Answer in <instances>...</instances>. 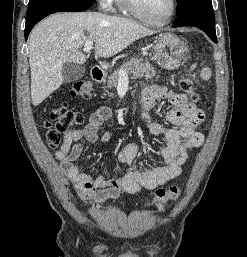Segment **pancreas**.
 I'll return each instance as SVG.
<instances>
[{
	"mask_svg": "<svg viewBox=\"0 0 247 257\" xmlns=\"http://www.w3.org/2000/svg\"><path fill=\"white\" fill-rule=\"evenodd\" d=\"M120 70H124L127 74L136 78L152 79L155 76L156 71L151 67L150 63H143L141 59H131L124 63ZM119 75L118 71L109 75L107 80V88L111 89L118 85ZM111 95V94H108Z\"/></svg>",
	"mask_w": 247,
	"mask_h": 257,
	"instance_id": "pancreas-1",
	"label": "pancreas"
}]
</instances>
